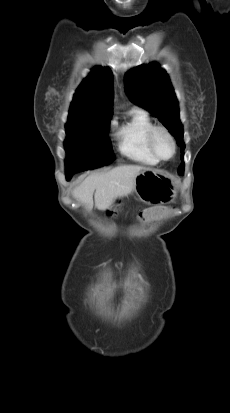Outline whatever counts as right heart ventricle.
I'll use <instances>...</instances> for the list:
<instances>
[{
    "label": "right heart ventricle",
    "instance_id": "obj_1",
    "mask_svg": "<svg viewBox=\"0 0 230 413\" xmlns=\"http://www.w3.org/2000/svg\"><path fill=\"white\" fill-rule=\"evenodd\" d=\"M153 122L141 109H133L130 118L117 129L118 149L120 153L137 162L155 165L158 160L148 146L147 135Z\"/></svg>",
    "mask_w": 230,
    "mask_h": 413
}]
</instances>
